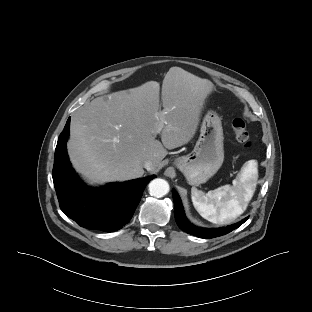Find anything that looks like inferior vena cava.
Instances as JSON below:
<instances>
[{"instance_id": "602c4592", "label": "inferior vena cava", "mask_w": 312, "mask_h": 312, "mask_svg": "<svg viewBox=\"0 0 312 312\" xmlns=\"http://www.w3.org/2000/svg\"><path fill=\"white\" fill-rule=\"evenodd\" d=\"M155 163L152 160H145L143 162V167L147 169V171H152L155 169Z\"/></svg>"}]
</instances>
